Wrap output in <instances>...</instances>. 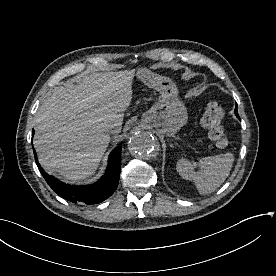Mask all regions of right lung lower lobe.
Masks as SVG:
<instances>
[{"instance_id":"98d812e1","label":"right lung lower lobe","mask_w":276,"mask_h":276,"mask_svg":"<svg viewBox=\"0 0 276 276\" xmlns=\"http://www.w3.org/2000/svg\"><path fill=\"white\" fill-rule=\"evenodd\" d=\"M34 135V130L32 136ZM36 164L49 186L62 198L73 202H84L88 205L97 204L110 197L116 190L121 170V149L117 147L112 151L108 160L105 175L96 183L88 186H71L61 183L56 178L49 176L38 163L36 151L33 149Z\"/></svg>"}]
</instances>
